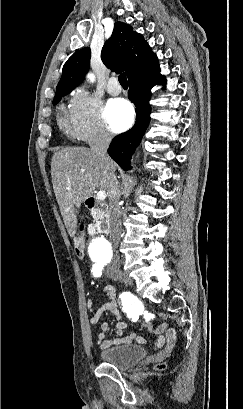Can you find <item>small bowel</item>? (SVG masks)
Masks as SVG:
<instances>
[{"instance_id": "small-bowel-1", "label": "small bowel", "mask_w": 243, "mask_h": 409, "mask_svg": "<svg viewBox=\"0 0 243 409\" xmlns=\"http://www.w3.org/2000/svg\"><path fill=\"white\" fill-rule=\"evenodd\" d=\"M104 296L107 301L101 305L96 310L94 309V304L91 299L87 302V308L89 311L93 312L90 323L92 325H98L100 323L101 317L104 313H110L116 318L115 330L117 335L120 337L107 339V334L110 330V325L104 322L100 326V331L97 335L96 343L102 348H109L112 346L129 344L132 341H137L139 343H146V341L136 333H131L130 335L123 336L127 328L126 322L122 319L119 311L117 296L112 288H106L103 291ZM125 311L127 312L130 319L136 321L139 315V310L134 306L133 302H128L125 306ZM142 329H147L150 333L156 336L155 341L148 342V345L159 350L161 354L168 355L172 352L177 344V332L173 328H169L167 323H161L157 327H153L150 321L146 320L142 324ZM165 333V335H163Z\"/></svg>"}]
</instances>
